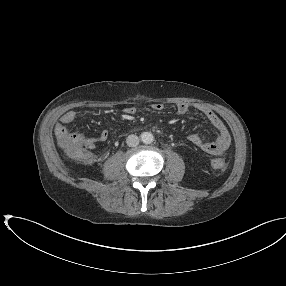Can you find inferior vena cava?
<instances>
[{"label": "inferior vena cava", "instance_id": "602c4592", "mask_svg": "<svg viewBox=\"0 0 286 286\" xmlns=\"http://www.w3.org/2000/svg\"><path fill=\"white\" fill-rule=\"evenodd\" d=\"M139 137L137 135H129L126 139V143L129 147H136L139 144Z\"/></svg>", "mask_w": 286, "mask_h": 286}]
</instances>
